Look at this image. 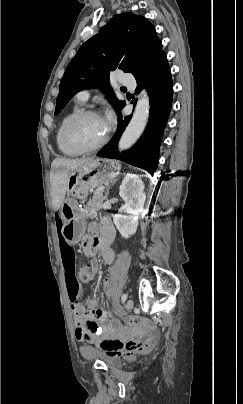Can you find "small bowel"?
<instances>
[{
	"label": "small bowel",
	"mask_w": 243,
	"mask_h": 404,
	"mask_svg": "<svg viewBox=\"0 0 243 404\" xmlns=\"http://www.w3.org/2000/svg\"><path fill=\"white\" fill-rule=\"evenodd\" d=\"M62 221L56 219V227L60 232V252L64 267L65 280L71 304V313L75 324V334L79 341L97 343L102 335L114 331L112 316L109 312L95 308V301L90 303L88 308L83 307L78 300L72 296L74 293L81 294V288L75 276V252L73 247L65 240L61 233ZM92 236H85L83 239L84 252L92 257V267H97L96 254L100 253L104 262L111 264L114 260L115 251L113 243L115 229L112 223L104 220L99 231L92 228Z\"/></svg>",
	"instance_id": "c3829d8e"
}]
</instances>
